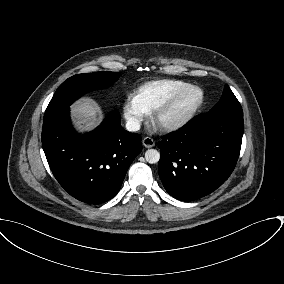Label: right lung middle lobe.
<instances>
[{"label":"right lung middle lobe","instance_id":"obj_1","mask_svg":"<svg viewBox=\"0 0 284 284\" xmlns=\"http://www.w3.org/2000/svg\"><path fill=\"white\" fill-rule=\"evenodd\" d=\"M117 72H96L78 74L64 81L54 93L49 105L46 108L44 119H47L58 111L69 107L83 94L109 87L118 79Z\"/></svg>","mask_w":284,"mask_h":284}]
</instances>
